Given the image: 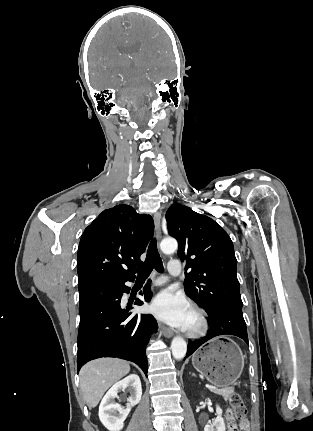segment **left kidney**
<instances>
[{
	"mask_svg": "<svg viewBox=\"0 0 313 431\" xmlns=\"http://www.w3.org/2000/svg\"><path fill=\"white\" fill-rule=\"evenodd\" d=\"M216 413V419L212 424L206 425L204 427V431H225V423L224 419L222 418V409L219 406L216 407Z\"/></svg>",
	"mask_w": 313,
	"mask_h": 431,
	"instance_id": "left-kidney-1",
	"label": "left kidney"
}]
</instances>
